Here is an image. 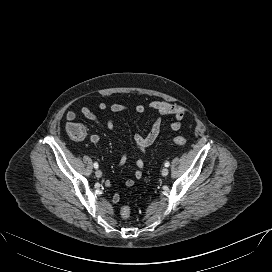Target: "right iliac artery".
Returning <instances> with one entry per match:
<instances>
[{
  "label": "right iliac artery",
  "instance_id": "1",
  "mask_svg": "<svg viewBox=\"0 0 272 272\" xmlns=\"http://www.w3.org/2000/svg\"><path fill=\"white\" fill-rule=\"evenodd\" d=\"M98 166H99V165H98V163H97V162H95V163H94V168H95V169H97V168H98Z\"/></svg>",
  "mask_w": 272,
  "mask_h": 272
}]
</instances>
